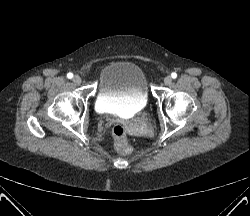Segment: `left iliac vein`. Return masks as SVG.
Here are the masks:
<instances>
[{"instance_id": "obj_1", "label": "left iliac vein", "mask_w": 250, "mask_h": 216, "mask_svg": "<svg viewBox=\"0 0 250 216\" xmlns=\"http://www.w3.org/2000/svg\"><path fill=\"white\" fill-rule=\"evenodd\" d=\"M172 83V78H171V76H166L165 78H164V84L165 85H170Z\"/></svg>"}]
</instances>
